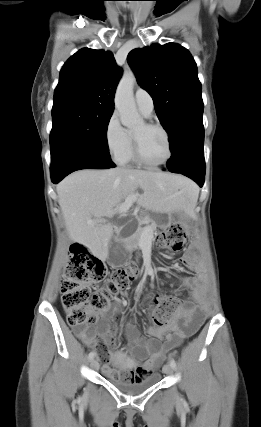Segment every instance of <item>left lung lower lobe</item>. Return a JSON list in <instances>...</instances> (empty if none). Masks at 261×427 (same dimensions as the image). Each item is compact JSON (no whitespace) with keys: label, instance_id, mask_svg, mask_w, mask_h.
Returning a JSON list of instances; mask_svg holds the SVG:
<instances>
[{"label":"left lung lower lobe","instance_id":"left-lung-lower-lobe-1","mask_svg":"<svg viewBox=\"0 0 261 427\" xmlns=\"http://www.w3.org/2000/svg\"><path fill=\"white\" fill-rule=\"evenodd\" d=\"M203 145L202 121H192L181 126L170 139L172 156L166 164L168 170L188 176L202 187L205 178Z\"/></svg>","mask_w":261,"mask_h":427}]
</instances>
